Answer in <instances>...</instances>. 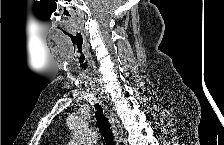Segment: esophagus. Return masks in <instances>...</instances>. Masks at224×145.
<instances>
[{"label":"esophagus","instance_id":"obj_1","mask_svg":"<svg viewBox=\"0 0 224 145\" xmlns=\"http://www.w3.org/2000/svg\"><path fill=\"white\" fill-rule=\"evenodd\" d=\"M106 114L108 115V119L111 124L112 131L114 133L117 144L121 143L123 132L119 120L117 119L113 111L106 110Z\"/></svg>","mask_w":224,"mask_h":145}]
</instances>
